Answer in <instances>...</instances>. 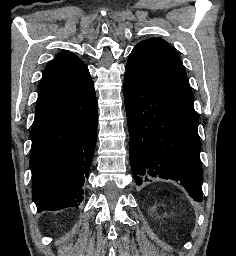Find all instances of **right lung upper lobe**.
<instances>
[{"instance_id":"obj_1","label":"right lung upper lobe","mask_w":236,"mask_h":256,"mask_svg":"<svg viewBox=\"0 0 236 256\" xmlns=\"http://www.w3.org/2000/svg\"><path fill=\"white\" fill-rule=\"evenodd\" d=\"M90 82L92 80L88 68L77 56L67 51L57 54L43 71L36 115L55 106Z\"/></svg>"}]
</instances>
